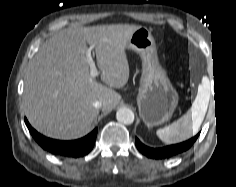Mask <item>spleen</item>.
<instances>
[{
  "label": "spleen",
  "instance_id": "obj_1",
  "mask_svg": "<svg viewBox=\"0 0 236 187\" xmlns=\"http://www.w3.org/2000/svg\"><path fill=\"white\" fill-rule=\"evenodd\" d=\"M207 108V94L201 89L193 107L180 119L158 129L157 136L165 143L175 142L190 136L201 123Z\"/></svg>",
  "mask_w": 236,
  "mask_h": 187
}]
</instances>
